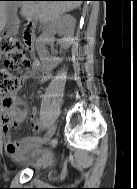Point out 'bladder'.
Here are the masks:
<instances>
[{
    "instance_id": "31cf9c89",
    "label": "bladder",
    "mask_w": 137,
    "mask_h": 189,
    "mask_svg": "<svg viewBox=\"0 0 137 189\" xmlns=\"http://www.w3.org/2000/svg\"><path fill=\"white\" fill-rule=\"evenodd\" d=\"M33 171H34V172H39V170H38V169H34Z\"/></svg>"
}]
</instances>
